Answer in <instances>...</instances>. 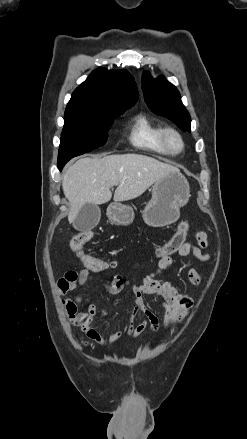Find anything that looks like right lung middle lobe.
Masks as SVG:
<instances>
[{
  "instance_id": "obj_1",
  "label": "right lung middle lobe",
  "mask_w": 247,
  "mask_h": 439,
  "mask_svg": "<svg viewBox=\"0 0 247 439\" xmlns=\"http://www.w3.org/2000/svg\"><path fill=\"white\" fill-rule=\"evenodd\" d=\"M127 109L111 113L65 112L59 146L58 165L106 143L113 120Z\"/></svg>"
}]
</instances>
